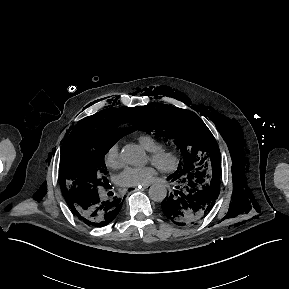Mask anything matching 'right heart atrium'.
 Returning <instances> with one entry per match:
<instances>
[{
    "mask_svg": "<svg viewBox=\"0 0 289 289\" xmlns=\"http://www.w3.org/2000/svg\"><path fill=\"white\" fill-rule=\"evenodd\" d=\"M104 163L110 168H117L121 165L119 144L113 143L104 154Z\"/></svg>",
    "mask_w": 289,
    "mask_h": 289,
    "instance_id": "d8ad5b80",
    "label": "right heart atrium"
}]
</instances>
